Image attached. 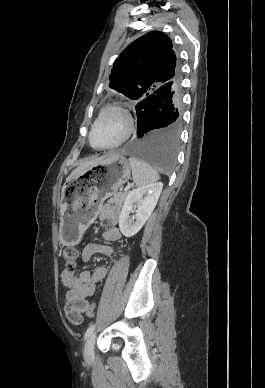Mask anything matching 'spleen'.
<instances>
[{
	"mask_svg": "<svg viewBox=\"0 0 265 388\" xmlns=\"http://www.w3.org/2000/svg\"><path fill=\"white\" fill-rule=\"evenodd\" d=\"M129 164L132 170L133 182L137 188L158 182V172L154 168H151L150 164L145 162V160H137L135 156H132V158H129Z\"/></svg>",
	"mask_w": 265,
	"mask_h": 388,
	"instance_id": "1",
	"label": "spleen"
}]
</instances>
